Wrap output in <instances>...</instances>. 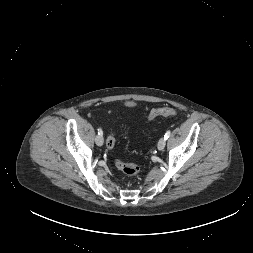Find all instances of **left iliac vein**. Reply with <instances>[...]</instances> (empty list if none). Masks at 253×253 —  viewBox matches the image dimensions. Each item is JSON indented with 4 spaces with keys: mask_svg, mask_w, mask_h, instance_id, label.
I'll list each match as a JSON object with an SVG mask.
<instances>
[{
    "mask_svg": "<svg viewBox=\"0 0 253 253\" xmlns=\"http://www.w3.org/2000/svg\"><path fill=\"white\" fill-rule=\"evenodd\" d=\"M166 145V140L164 138H161L158 142L157 148L158 150H163L165 148Z\"/></svg>",
    "mask_w": 253,
    "mask_h": 253,
    "instance_id": "4c4485c4",
    "label": "left iliac vein"
}]
</instances>
